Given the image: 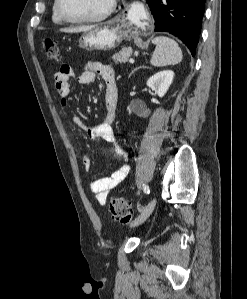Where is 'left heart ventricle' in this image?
<instances>
[{"instance_id":"1","label":"left heart ventricle","mask_w":247,"mask_h":299,"mask_svg":"<svg viewBox=\"0 0 247 299\" xmlns=\"http://www.w3.org/2000/svg\"><path fill=\"white\" fill-rule=\"evenodd\" d=\"M111 0H63V9L74 18L93 17L102 13Z\"/></svg>"}]
</instances>
